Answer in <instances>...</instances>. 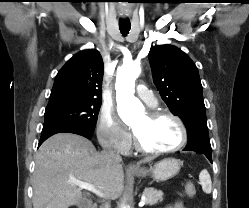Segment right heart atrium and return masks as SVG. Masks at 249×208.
I'll list each match as a JSON object with an SVG mask.
<instances>
[{
    "label": "right heart atrium",
    "mask_w": 249,
    "mask_h": 208,
    "mask_svg": "<svg viewBox=\"0 0 249 208\" xmlns=\"http://www.w3.org/2000/svg\"><path fill=\"white\" fill-rule=\"evenodd\" d=\"M97 136L102 145L120 152H127L131 145L130 133L110 108L102 107L100 110Z\"/></svg>",
    "instance_id": "right-heart-atrium-1"
}]
</instances>
